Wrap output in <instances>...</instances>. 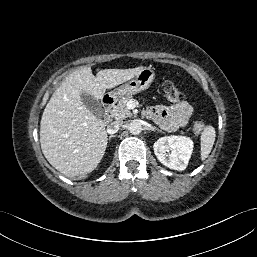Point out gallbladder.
I'll return each mask as SVG.
<instances>
[{"mask_svg": "<svg viewBox=\"0 0 257 257\" xmlns=\"http://www.w3.org/2000/svg\"><path fill=\"white\" fill-rule=\"evenodd\" d=\"M81 100H82L84 106H86L95 116H97V117L102 116V114H103L102 105L93 96L83 93L81 95Z\"/></svg>", "mask_w": 257, "mask_h": 257, "instance_id": "1", "label": "gallbladder"}]
</instances>
